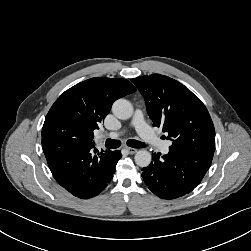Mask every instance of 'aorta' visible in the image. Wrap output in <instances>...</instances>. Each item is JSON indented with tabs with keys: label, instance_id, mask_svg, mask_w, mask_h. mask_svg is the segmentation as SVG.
Here are the masks:
<instances>
[{
	"label": "aorta",
	"instance_id": "obj_1",
	"mask_svg": "<svg viewBox=\"0 0 251 251\" xmlns=\"http://www.w3.org/2000/svg\"><path fill=\"white\" fill-rule=\"evenodd\" d=\"M112 112L117 118L127 120L133 115V106L128 100L121 98L113 103ZM134 159L138 166L147 167L151 163L152 156L147 150H139Z\"/></svg>",
	"mask_w": 251,
	"mask_h": 251
}]
</instances>
